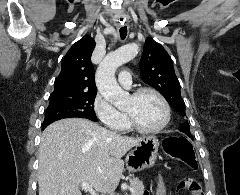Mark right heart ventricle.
Wrapping results in <instances>:
<instances>
[{"label":"right heart ventricle","mask_w":240,"mask_h":195,"mask_svg":"<svg viewBox=\"0 0 240 195\" xmlns=\"http://www.w3.org/2000/svg\"><path fill=\"white\" fill-rule=\"evenodd\" d=\"M125 120H124V117H123V125H122V128L125 127Z\"/></svg>","instance_id":"1"}]
</instances>
